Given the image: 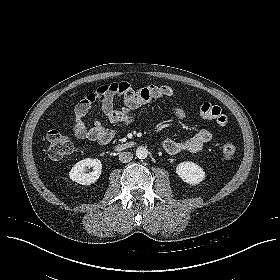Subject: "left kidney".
<instances>
[{
  "label": "left kidney",
  "mask_w": 280,
  "mask_h": 280,
  "mask_svg": "<svg viewBox=\"0 0 280 280\" xmlns=\"http://www.w3.org/2000/svg\"><path fill=\"white\" fill-rule=\"evenodd\" d=\"M176 173L187 184L196 185L205 179L203 169L191 161H185L177 165Z\"/></svg>",
  "instance_id": "obj_1"
}]
</instances>
